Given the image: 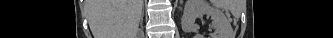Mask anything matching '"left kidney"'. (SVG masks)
Here are the masks:
<instances>
[{
  "instance_id": "1",
  "label": "left kidney",
  "mask_w": 333,
  "mask_h": 38,
  "mask_svg": "<svg viewBox=\"0 0 333 38\" xmlns=\"http://www.w3.org/2000/svg\"><path fill=\"white\" fill-rule=\"evenodd\" d=\"M207 15L211 17V24L209 30L214 31L210 34V38H231L233 29L231 21L227 16L218 8L212 6L207 0H187L182 16V28L185 32H193L198 28L195 23L198 17ZM195 38H204L203 34L199 32Z\"/></svg>"
}]
</instances>
